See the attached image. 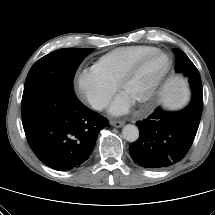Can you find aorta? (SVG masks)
<instances>
[{"label": "aorta", "instance_id": "1", "mask_svg": "<svg viewBox=\"0 0 215 215\" xmlns=\"http://www.w3.org/2000/svg\"><path fill=\"white\" fill-rule=\"evenodd\" d=\"M122 135L128 142H135L139 138V129L135 125L127 124L122 129Z\"/></svg>", "mask_w": 215, "mask_h": 215}]
</instances>
